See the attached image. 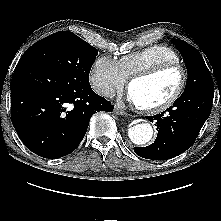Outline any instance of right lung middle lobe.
<instances>
[{
	"label": "right lung middle lobe",
	"instance_id": "dd1d6c3e",
	"mask_svg": "<svg viewBox=\"0 0 221 221\" xmlns=\"http://www.w3.org/2000/svg\"><path fill=\"white\" fill-rule=\"evenodd\" d=\"M98 50L67 31L54 33L33 44L20 60L44 64L70 79L89 83V73Z\"/></svg>",
	"mask_w": 221,
	"mask_h": 221
}]
</instances>
